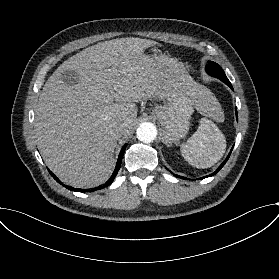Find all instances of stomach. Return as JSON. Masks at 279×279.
<instances>
[{
  "label": "stomach",
  "mask_w": 279,
  "mask_h": 279,
  "mask_svg": "<svg viewBox=\"0 0 279 279\" xmlns=\"http://www.w3.org/2000/svg\"><path fill=\"white\" fill-rule=\"evenodd\" d=\"M160 68H168L180 76L188 74L182 62L170 58L166 54L151 56ZM184 79H171V88L165 92L163 105L156 107L152 115L156 117L162 127L161 139L168 146L185 137L189 131L191 115L194 112V101L183 89Z\"/></svg>",
  "instance_id": "stomach-1"
}]
</instances>
